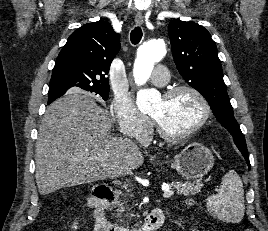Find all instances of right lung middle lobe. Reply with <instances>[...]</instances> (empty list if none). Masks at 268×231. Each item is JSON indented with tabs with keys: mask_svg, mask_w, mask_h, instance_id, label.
<instances>
[{
	"mask_svg": "<svg viewBox=\"0 0 268 231\" xmlns=\"http://www.w3.org/2000/svg\"><path fill=\"white\" fill-rule=\"evenodd\" d=\"M65 92H66V89H62V88H58V87L50 88L49 89V96L50 95H63ZM93 92L99 94L104 100L108 99L109 90H96Z\"/></svg>",
	"mask_w": 268,
	"mask_h": 231,
	"instance_id": "right-lung-middle-lobe-1",
	"label": "right lung middle lobe"
}]
</instances>
